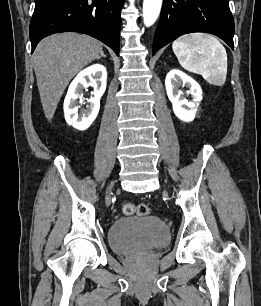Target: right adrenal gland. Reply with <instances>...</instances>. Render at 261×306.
<instances>
[{
  "instance_id": "right-adrenal-gland-1",
  "label": "right adrenal gland",
  "mask_w": 261,
  "mask_h": 306,
  "mask_svg": "<svg viewBox=\"0 0 261 306\" xmlns=\"http://www.w3.org/2000/svg\"><path fill=\"white\" fill-rule=\"evenodd\" d=\"M101 57L106 58V55H104V53H102L101 56L98 59H100Z\"/></svg>"
}]
</instances>
